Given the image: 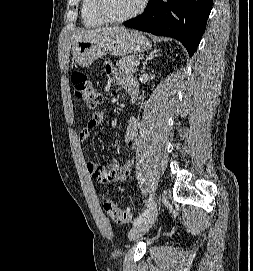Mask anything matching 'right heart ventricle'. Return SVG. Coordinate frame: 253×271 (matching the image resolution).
Segmentation results:
<instances>
[{"label": "right heart ventricle", "mask_w": 253, "mask_h": 271, "mask_svg": "<svg viewBox=\"0 0 253 271\" xmlns=\"http://www.w3.org/2000/svg\"><path fill=\"white\" fill-rule=\"evenodd\" d=\"M80 17L86 28H97L107 23L97 14L95 0H81Z\"/></svg>", "instance_id": "right-heart-ventricle-1"}]
</instances>
